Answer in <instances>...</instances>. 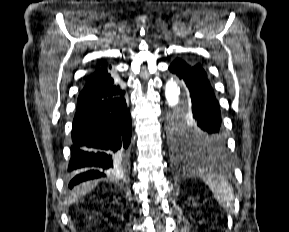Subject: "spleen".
Returning <instances> with one entry per match:
<instances>
[{
  "instance_id": "3e777b00",
  "label": "spleen",
  "mask_w": 289,
  "mask_h": 232,
  "mask_svg": "<svg viewBox=\"0 0 289 232\" xmlns=\"http://www.w3.org/2000/svg\"><path fill=\"white\" fill-rule=\"evenodd\" d=\"M206 184L224 209L232 207L234 201L233 187L224 176L220 175L215 178L210 175L206 180Z\"/></svg>"
}]
</instances>
